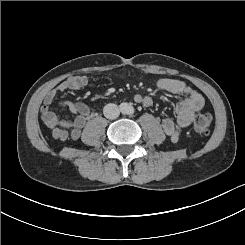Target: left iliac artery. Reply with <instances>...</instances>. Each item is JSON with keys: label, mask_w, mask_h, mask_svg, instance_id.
<instances>
[{"label": "left iliac artery", "mask_w": 245, "mask_h": 245, "mask_svg": "<svg viewBox=\"0 0 245 245\" xmlns=\"http://www.w3.org/2000/svg\"><path fill=\"white\" fill-rule=\"evenodd\" d=\"M134 112H135V110H134V108H133L132 106L128 107V109H127V111H126V113H127L128 115H133Z\"/></svg>", "instance_id": "44dca946"}]
</instances>
